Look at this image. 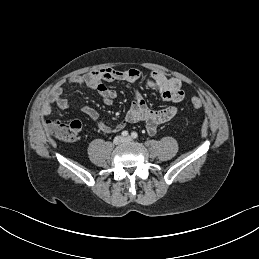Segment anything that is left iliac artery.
Instances as JSON below:
<instances>
[{"label": "left iliac artery", "instance_id": "44dca946", "mask_svg": "<svg viewBox=\"0 0 259 259\" xmlns=\"http://www.w3.org/2000/svg\"><path fill=\"white\" fill-rule=\"evenodd\" d=\"M131 136H132V138H134V139H135V138H137V137H138V134H137L136 132H132V133H131Z\"/></svg>", "mask_w": 259, "mask_h": 259}]
</instances>
